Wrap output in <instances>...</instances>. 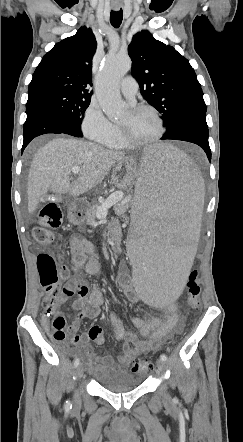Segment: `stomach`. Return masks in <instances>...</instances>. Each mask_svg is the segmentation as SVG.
I'll use <instances>...</instances> for the list:
<instances>
[{
    "label": "stomach",
    "mask_w": 243,
    "mask_h": 442,
    "mask_svg": "<svg viewBox=\"0 0 243 442\" xmlns=\"http://www.w3.org/2000/svg\"><path fill=\"white\" fill-rule=\"evenodd\" d=\"M137 162L132 157H125L121 161H118L113 170L111 175V180L113 184L121 189L125 190L129 188L136 177ZM87 216L85 217L83 215V212L79 210L75 205L70 206L68 209V219L73 224H82Z\"/></svg>",
    "instance_id": "0dacf381"
}]
</instances>
